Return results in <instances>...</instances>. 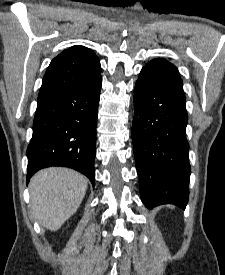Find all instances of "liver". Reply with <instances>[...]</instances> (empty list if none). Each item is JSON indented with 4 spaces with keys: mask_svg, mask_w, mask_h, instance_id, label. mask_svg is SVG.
Segmentation results:
<instances>
[{
    "mask_svg": "<svg viewBox=\"0 0 225 275\" xmlns=\"http://www.w3.org/2000/svg\"><path fill=\"white\" fill-rule=\"evenodd\" d=\"M87 186L85 176L68 168L37 172L29 184L35 219L51 231L58 230L79 208Z\"/></svg>",
    "mask_w": 225,
    "mask_h": 275,
    "instance_id": "6515ba94",
    "label": "liver"
}]
</instances>
